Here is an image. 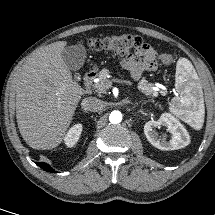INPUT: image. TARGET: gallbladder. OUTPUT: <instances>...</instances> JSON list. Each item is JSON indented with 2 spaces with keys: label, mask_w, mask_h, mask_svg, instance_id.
I'll return each mask as SVG.
<instances>
[{
  "label": "gallbladder",
  "mask_w": 215,
  "mask_h": 215,
  "mask_svg": "<svg viewBox=\"0 0 215 215\" xmlns=\"http://www.w3.org/2000/svg\"><path fill=\"white\" fill-rule=\"evenodd\" d=\"M62 58L69 69L73 71L79 70L86 59V49L81 44L65 46L62 51ZM80 75H76L79 78Z\"/></svg>",
  "instance_id": "gallbladder-1"
}]
</instances>
